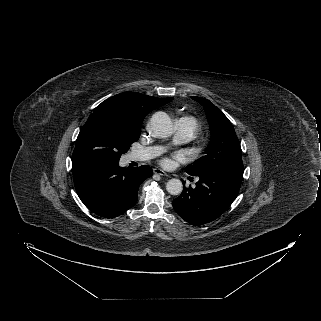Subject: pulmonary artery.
Masks as SVG:
<instances>
[{"label":"pulmonary artery","instance_id":"pulmonary-artery-1","mask_svg":"<svg viewBox=\"0 0 321 321\" xmlns=\"http://www.w3.org/2000/svg\"><path fill=\"white\" fill-rule=\"evenodd\" d=\"M196 133V124L188 118H180L177 122L176 141H189ZM161 152L160 147H148L135 151L130 158L137 161H145L156 157Z\"/></svg>","mask_w":321,"mask_h":321}]
</instances>
